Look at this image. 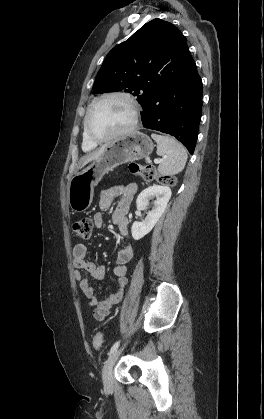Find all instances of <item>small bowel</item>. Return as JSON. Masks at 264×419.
<instances>
[{"mask_svg":"<svg viewBox=\"0 0 264 419\" xmlns=\"http://www.w3.org/2000/svg\"><path fill=\"white\" fill-rule=\"evenodd\" d=\"M136 191L137 185L135 183H130L126 186H114L102 191L99 199V207L102 211H105L110 208L114 199L120 198L117 208L112 215V222L118 227L121 236L127 243L118 252L116 264L113 268V273L118 278L119 289L117 292L109 295L107 298L97 299L95 289L90 284L89 278L95 280L103 279L106 269L104 266H98L88 259V248L86 245L78 244L73 249V264L76 269L75 279L79 283L84 296L88 298L89 305L94 308V318L100 322L105 320L112 307L122 299L123 290L127 284V273L134 260V250L128 242L127 213ZM93 221L97 228L104 226V218L100 212L94 215Z\"/></svg>","mask_w":264,"mask_h":419,"instance_id":"c3829d8e","label":"small bowel"}]
</instances>
